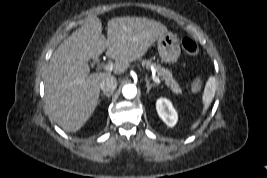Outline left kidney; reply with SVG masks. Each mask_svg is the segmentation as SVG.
I'll use <instances>...</instances> for the list:
<instances>
[{
  "label": "left kidney",
  "instance_id": "left-kidney-1",
  "mask_svg": "<svg viewBox=\"0 0 267 178\" xmlns=\"http://www.w3.org/2000/svg\"><path fill=\"white\" fill-rule=\"evenodd\" d=\"M156 110L159 117L169 127H174L178 120V115L170 100L159 98L156 102Z\"/></svg>",
  "mask_w": 267,
  "mask_h": 178
}]
</instances>
